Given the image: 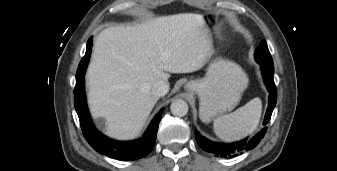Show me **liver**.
I'll list each match as a JSON object with an SVG mask.
<instances>
[{
  "label": "liver",
  "mask_w": 337,
  "mask_h": 171,
  "mask_svg": "<svg viewBox=\"0 0 337 171\" xmlns=\"http://www.w3.org/2000/svg\"><path fill=\"white\" fill-rule=\"evenodd\" d=\"M210 51L200 14L161 16L134 26L109 27L97 36L87 71L92 114L108 136L134 139L158 101L152 93L170 73L199 70Z\"/></svg>",
  "instance_id": "6515ba94"
}]
</instances>
